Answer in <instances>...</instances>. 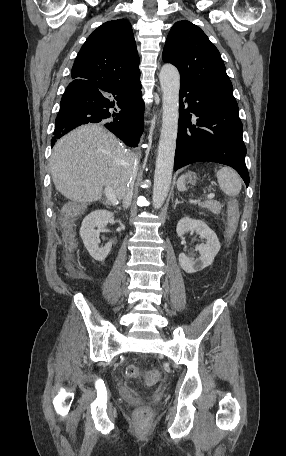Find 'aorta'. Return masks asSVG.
I'll return each instance as SVG.
<instances>
[{
	"label": "aorta",
	"instance_id": "aorta-1",
	"mask_svg": "<svg viewBox=\"0 0 286 456\" xmlns=\"http://www.w3.org/2000/svg\"><path fill=\"white\" fill-rule=\"evenodd\" d=\"M159 79L163 93V116L152 195L155 209L164 204L172 180L178 131L180 74L172 64H164Z\"/></svg>",
	"mask_w": 286,
	"mask_h": 456
}]
</instances>
